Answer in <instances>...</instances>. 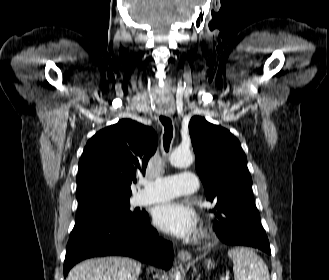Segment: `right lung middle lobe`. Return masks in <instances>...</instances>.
Here are the masks:
<instances>
[{"label":"right lung middle lobe","mask_w":329,"mask_h":280,"mask_svg":"<svg viewBox=\"0 0 329 280\" xmlns=\"http://www.w3.org/2000/svg\"><path fill=\"white\" fill-rule=\"evenodd\" d=\"M77 200L75 224L101 214L113 215L134 223L139 222L144 216V212L130 211L129 198L94 195Z\"/></svg>","instance_id":"1"}]
</instances>
